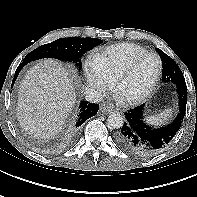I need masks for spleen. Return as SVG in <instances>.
Segmentation results:
<instances>
[{
	"label": "spleen",
	"mask_w": 197,
	"mask_h": 197,
	"mask_svg": "<svg viewBox=\"0 0 197 197\" xmlns=\"http://www.w3.org/2000/svg\"><path fill=\"white\" fill-rule=\"evenodd\" d=\"M171 117V109H166L163 112L149 116L146 118V122L153 126H160L168 122Z\"/></svg>",
	"instance_id": "obj_1"
}]
</instances>
